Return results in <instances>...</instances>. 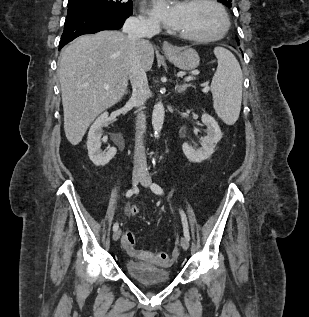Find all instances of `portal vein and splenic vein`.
<instances>
[{"label":"portal vein and splenic vein","mask_w":309,"mask_h":317,"mask_svg":"<svg viewBox=\"0 0 309 317\" xmlns=\"http://www.w3.org/2000/svg\"><path fill=\"white\" fill-rule=\"evenodd\" d=\"M193 79H194V77L188 76V77L185 78V81L188 82V81H192ZM106 89H108V88H106ZM207 90H208V85L205 86V88L203 89V91L206 92Z\"/></svg>","instance_id":"portal-vein-and-splenic-vein-1"}]
</instances>
